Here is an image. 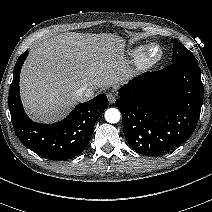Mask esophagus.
I'll use <instances>...</instances> for the list:
<instances>
[{"instance_id":"obj_1","label":"esophagus","mask_w":212,"mask_h":212,"mask_svg":"<svg viewBox=\"0 0 212 212\" xmlns=\"http://www.w3.org/2000/svg\"><path fill=\"white\" fill-rule=\"evenodd\" d=\"M107 97H108V101H109L111 104L114 103L115 100H116V96H115V94H114L113 92H109V93L107 94Z\"/></svg>"}]
</instances>
